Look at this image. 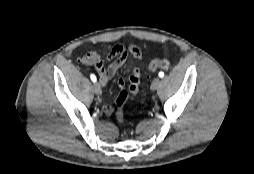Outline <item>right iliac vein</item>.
<instances>
[{
    "mask_svg": "<svg viewBox=\"0 0 254 174\" xmlns=\"http://www.w3.org/2000/svg\"><path fill=\"white\" fill-rule=\"evenodd\" d=\"M93 90H94V93L96 95H100L101 94V87H100V84L98 82H95L93 84Z\"/></svg>",
    "mask_w": 254,
    "mask_h": 174,
    "instance_id": "right-iliac-vein-1",
    "label": "right iliac vein"
}]
</instances>
